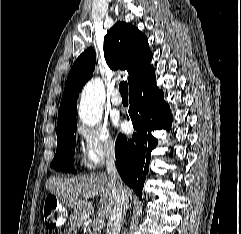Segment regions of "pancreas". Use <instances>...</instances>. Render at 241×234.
<instances>
[{
  "instance_id": "cf45deb5",
  "label": "pancreas",
  "mask_w": 241,
  "mask_h": 234,
  "mask_svg": "<svg viewBox=\"0 0 241 234\" xmlns=\"http://www.w3.org/2000/svg\"><path fill=\"white\" fill-rule=\"evenodd\" d=\"M86 234H99V231L97 228L94 227H88L86 229Z\"/></svg>"
}]
</instances>
